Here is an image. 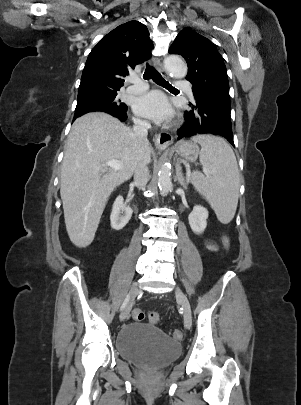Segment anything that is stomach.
<instances>
[{
    "label": "stomach",
    "mask_w": 301,
    "mask_h": 405,
    "mask_svg": "<svg viewBox=\"0 0 301 405\" xmlns=\"http://www.w3.org/2000/svg\"><path fill=\"white\" fill-rule=\"evenodd\" d=\"M174 151L177 155L186 161H196L200 154L199 146L194 142L182 141L174 147Z\"/></svg>",
    "instance_id": "1"
}]
</instances>
